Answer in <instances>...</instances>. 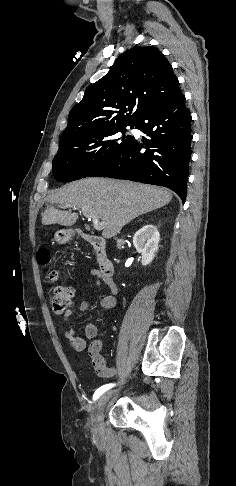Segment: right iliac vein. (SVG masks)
<instances>
[{
  "instance_id": "63e3f726",
  "label": "right iliac vein",
  "mask_w": 236,
  "mask_h": 486,
  "mask_svg": "<svg viewBox=\"0 0 236 486\" xmlns=\"http://www.w3.org/2000/svg\"><path fill=\"white\" fill-rule=\"evenodd\" d=\"M111 395L112 392H107L103 394L94 407V412L92 415V423H93L94 435L96 438H100L103 434L104 409Z\"/></svg>"
}]
</instances>
